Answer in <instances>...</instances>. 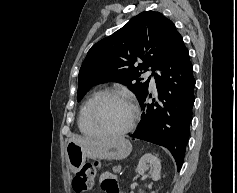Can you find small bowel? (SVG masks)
Listing matches in <instances>:
<instances>
[{
	"label": "small bowel",
	"mask_w": 237,
	"mask_h": 193,
	"mask_svg": "<svg viewBox=\"0 0 237 193\" xmlns=\"http://www.w3.org/2000/svg\"><path fill=\"white\" fill-rule=\"evenodd\" d=\"M101 188L105 193H119L115 175L110 172L102 173L100 177Z\"/></svg>",
	"instance_id": "small-bowel-1"
}]
</instances>
